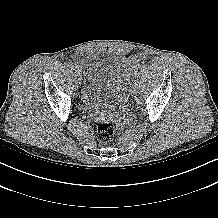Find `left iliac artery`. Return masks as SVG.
Here are the masks:
<instances>
[{
	"label": "left iliac artery",
	"instance_id": "1",
	"mask_svg": "<svg viewBox=\"0 0 218 218\" xmlns=\"http://www.w3.org/2000/svg\"><path fill=\"white\" fill-rule=\"evenodd\" d=\"M128 81H129V83H128L127 90H128L130 87L133 88V87H132L133 85H136V76H131V77H129V78H128Z\"/></svg>",
	"mask_w": 218,
	"mask_h": 218
}]
</instances>
